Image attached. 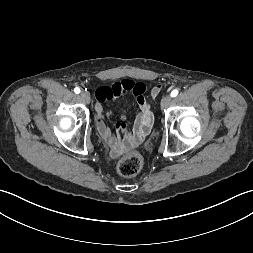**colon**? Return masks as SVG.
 Wrapping results in <instances>:
<instances>
[{"label":"colon","instance_id":"obj_1","mask_svg":"<svg viewBox=\"0 0 253 253\" xmlns=\"http://www.w3.org/2000/svg\"><path fill=\"white\" fill-rule=\"evenodd\" d=\"M143 161L140 155L131 153L121 157L117 163L119 174L125 177L136 175L142 169Z\"/></svg>","mask_w":253,"mask_h":253}]
</instances>
